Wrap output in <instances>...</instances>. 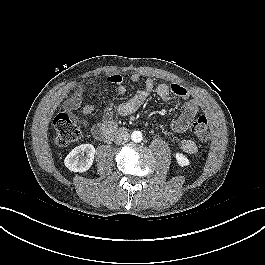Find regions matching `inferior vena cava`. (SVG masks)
Returning a JSON list of instances; mask_svg holds the SVG:
<instances>
[{"label": "inferior vena cava", "mask_w": 265, "mask_h": 265, "mask_svg": "<svg viewBox=\"0 0 265 265\" xmlns=\"http://www.w3.org/2000/svg\"><path fill=\"white\" fill-rule=\"evenodd\" d=\"M130 140V135L128 132H120L115 137V143L117 145L125 144Z\"/></svg>", "instance_id": "obj_1"}]
</instances>
